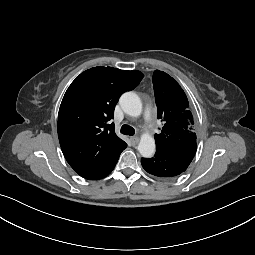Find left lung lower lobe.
Segmentation results:
<instances>
[{"mask_svg": "<svg viewBox=\"0 0 255 255\" xmlns=\"http://www.w3.org/2000/svg\"><path fill=\"white\" fill-rule=\"evenodd\" d=\"M197 146L188 148L157 149L154 157L142 158L146 172L161 178L171 179L183 173L191 163Z\"/></svg>", "mask_w": 255, "mask_h": 255, "instance_id": "obj_1", "label": "left lung lower lobe"}]
</instances>
